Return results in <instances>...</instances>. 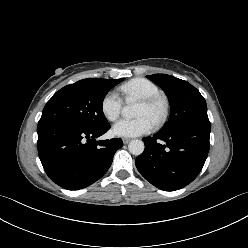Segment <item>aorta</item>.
I'll list each match as a JSON object with an SVG mask.
<instances>
[{"label": "aorta", "mask_w": 248, "mask_h": 248, "mask_svg": "<svg viewBox=\"0 0 248 248\" xmlns=\"http://www.w3.org/2000/svg\"><path fill=\"white\" fill-rule=\"evenodd\" d=\"M122 114L127 118L135 117L137 114L136 106L133 103H128L123 107ZM144 148V142L138 139L132 140L128 145L129 152L136 156L141 155L144 151Z\"/></svg>", "instance_id": "aorta-1"}]
</instances>
